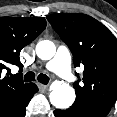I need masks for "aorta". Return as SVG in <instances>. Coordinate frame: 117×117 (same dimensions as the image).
Wrapping results in <instances>:
<instances>
[{"label":"aorta","instance_id":"obj_1","mask_svg":"<svg viewBox=\"0 0 117 117\" xmlns=\"http://www.w3.org/2000/svg\"><path fill=\"white\" fill-rule=\"evenodd\" d=\"M56 52L52 41L42 40L36 45V54L42 60L51 59ZM50 102L58 109L69 108L75 101L74 89L64 81H54L50 86Z\"/></svg>","mask_w":117,"mask_h":117}]
</instances>
